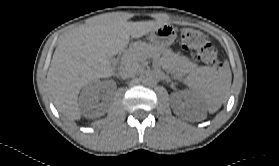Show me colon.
Returning a JSON list of instances; mask_svg holds the SVG:
<instances>
[{"label": "colon", "instance_id": "colon-1", "mask_svg": "<svg viewBox=\"0 0 279 166\" xmlns=\"http://www.w3.org/2000/svg\"><path fill=\"white\" fill-rule=\"evenodd\" d=\"M179 37L183 47L189 50L196 59L214 68H221L216 48L201 31L182 28L179 30Z\"/></svg>", "mask_w": 279, "mask_h": 166}]
</instances>
